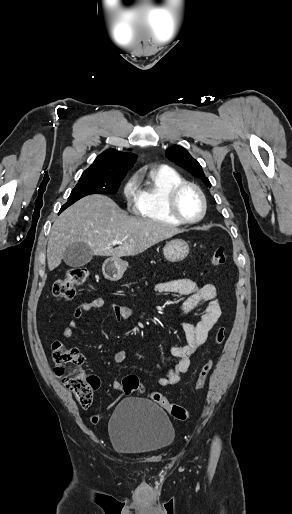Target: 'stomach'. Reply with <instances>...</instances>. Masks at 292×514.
Segmentation results:
<instances>
[{
  "instance_id": "1",
  "label": "stomach",
  "mask_w": 292,
  "mask_h": 514,
  "mask_svg": "<svg viewBox=\"0 0 292 514\" xmlns=\"http://www.w3.org/2000/svg\"><path fill=\"white\" fill-rule=\"evenodd\" d=\"M163 254L165 260L168 262H181L185 260L189 254V246L184 240H171L167 242L165 248H163ZM126 270V264L120 258H108L105 260L102 266V272L111 282H117L121 280Z\"/></svg>"
}]
</instances>
